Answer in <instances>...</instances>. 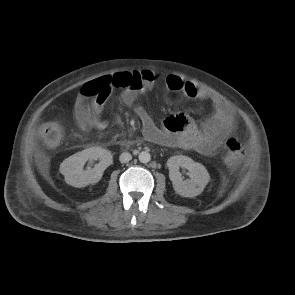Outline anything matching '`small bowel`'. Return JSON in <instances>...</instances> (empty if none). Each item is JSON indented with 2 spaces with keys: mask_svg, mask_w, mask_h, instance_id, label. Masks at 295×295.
<instances>
[{
  "mask_svg": "<svg viewBox=\"0 0 295 295\" xmlns=\"http://www.w3.org/2000/svg\"><path fill=\"white\" fill-rule=\"evenodd\" d=\"M138 76L140 84L121 92V101L134 108L143 123V133L147 140L168 147H178L195 151L202 155L214 154L237 130L236 119L229 106L209 91L184 81L176 75L163 76L151 70L132 73ZM103 78L86 83L80 89L82 95L76 98L73 116L79 130L89 133L93 129L104 130L108 126L103 116L104 105L111 91L99 87ZM159 82L165 84L169 92L180 93L187 98L207 101L213 112L200 125L184 113L167 116L162 125L157 126L143 105L138 102L140 95Z\"/></svg>",
  "mask_w": 295,
  "mask_h": 295,
  "instance_id": "c3829d8e",
  "label": "small bowel"
}]
</instances>
